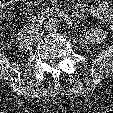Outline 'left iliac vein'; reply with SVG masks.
Returning <instances> with one entry per match:
<instances>
[{
	"label": "left iliac vein",
	"instance_id": "left-iliac-vein-1",
	"mask_svg": "<svg viewBox=\"0 0 113 113\" xmlns=\"http://www.w3.org/2000/svg\"><path fill=\"white\" fill-rule=\"evenodd\" d=\"M46 31H48L49 33H53L55 31V27L52 26V23H48V25L46 26Z\"/></svg>",
	"mask_w": 113,
	"mask_h": 113
}]
</instances>
